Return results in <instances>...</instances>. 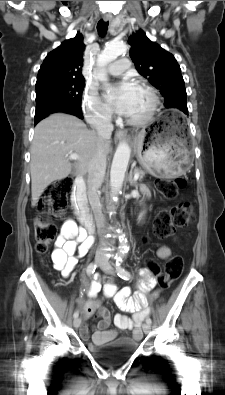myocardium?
Here are the masks:
<instances>
[{
    "instance_id": "obj_1",
    "label": "myocardium",
    "mask_w": 225,
    "mask_h": 395,
    "mask_svg": "<svg viewBox=\"0 0 225 395\" xmlns=\"http://www.w3.org/2000/svg\"><path fill=\"white\" fill-rule=\"evenodd\" d=\"M139 88L145 90L148 93V95L150 96V99H151V104H150V107H149L147 113L143 117L138 118V119H132V118L127 119V122L130 125H134V126H141V125H144V124L148 123L149 121H151V119L155 115L157 108L159 106V97H158L156 90L153 87H151L148 84L141 83L139 85Z\"/></svg>"
}]
</instances>
